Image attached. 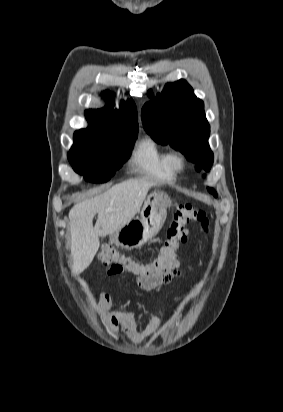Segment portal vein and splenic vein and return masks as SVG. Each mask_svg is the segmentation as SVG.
I'll return each instance as SVG.
<instances>
[{"label": "portal vein and splenic vein", "instance_id": "1", "mask_svg": "<svg viewBox=\"0 0 283 412\" xmlns=\"http://www.w3.org/2000/svg\"><path fill=\"white\" fill-rule=\"evenodd\" d=\"M111 211H113V209H112V208H108V209H106V212H111Z\"/></svg>", "mask_w": 283, "mask_h": 412}]
</instances>
